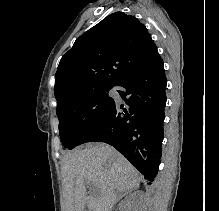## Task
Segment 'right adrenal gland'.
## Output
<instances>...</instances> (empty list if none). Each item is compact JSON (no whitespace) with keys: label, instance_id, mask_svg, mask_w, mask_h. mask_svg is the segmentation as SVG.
I'll list each match as a JSON object with an SVG mask.
<instances>
[{"label":"right adrenal gland","instance_id":"right-adrenal-gland-1","mask_svg":"<svg viewBox=\"0 0 219 211\" xmlns=\"http://www.w3.org/2000/svg\"><path fill=\"white\" fill-rule=\"evenodd\" d=\"M132 191H133V189H131V191H126V193H120V195H128V193H129V195H131Z\"/></svg>","mask_w":219,"mask_h":211}]
</instances>
